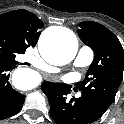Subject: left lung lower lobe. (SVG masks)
Listing matches in <instances>:
<instances>
[{
    "instance_id": "left-lung-lower-lobe-1",
    "label": "left lung lower lobe",
    "mask_w": 124,
    "mask_h": 124,
    "mask_svg": "<svg viewBox=\"0 0 124 124\" xmlns=\"http://www.w3.org/2000/svg\"><path fill=\"white\" fill-rule=\"evenodd\" d=\"M41 89L49 99L50 115L57 124H92L104 114L83 94L67 100L70 85L44 81Z\"/></svg>"
}]
</instances>
